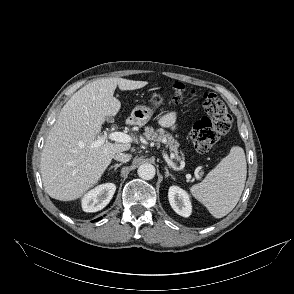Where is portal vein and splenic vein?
<instances>
[{
    "label": "portal vein and splenic vein",
    "mask_w": 294,
    "mask_h": 294,
    "mask_svg": "<svg viewBox=\"0 0 294 294\" xmlns=\"http://www.w3.org/2000/svg\"><path fill=\"white\" fill-rule=\"evenodd\" d=\"M108 139L112 140V141L120 142V143L132 142V138L130 135L123 133V132L114 131V132H110V133H104L101 136H99L98 139L92 143V146L93 147L101 146ZM168 163H169V165L173 166V164H172V162H170V160H168Z\"/></svg>",
    "instance_id": "1"
}]
</instances>
